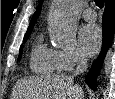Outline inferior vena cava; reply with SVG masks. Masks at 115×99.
Here are the masks:
<instances>
[{"label": "inferior vena cava", "instance_id": "obj_1", "mask_svg": "<svg viewBox=\"0 0 115 99\" xmlns=\"http://www.w3.org/2000/svg\"><path fill=\"white\" fill-rule=\"evenodd\" d=\"M87 59L84 57L79 58L77 61V67L73 73L74 76H77L87 70Z\"/></svg>", "mask_w": 115, "mask_h": 99}]
</instances>
